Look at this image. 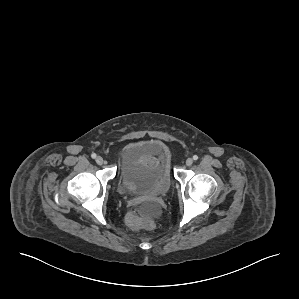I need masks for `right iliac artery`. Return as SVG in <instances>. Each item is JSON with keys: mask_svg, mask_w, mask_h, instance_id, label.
<instances>
[{"mask_svg": "<svg viewBox=\"0 0 299 299\" xmlns=\"http://www.w3.org/2000/svg\"><path fill=\"white\" fill-rule=\"evenodd\" d=\"M91 157H92L93 159H95V158L97 157V155H96L95 153H92Z\"/></svg>", "mask_w": 299, "mask_h": 299, "instance_id": "obj_1", "label": "right iliac artery"}]
</instances>
